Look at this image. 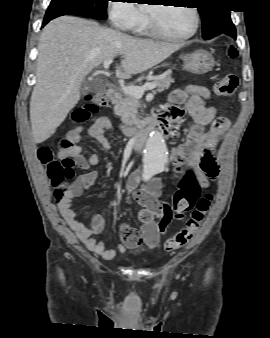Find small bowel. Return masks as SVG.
<instances>
[{
	"label": "small bowel",
	"mask_w": 270,
	"mask_h": 338,
	"mask_svg": "<svg viewBox=\"0 0 270 338\" xmlns=\"http://www.w3.org/2000/svg\"><path fill=\"white\" fill-rule=\"evenodd\" d=\"M210 90L204 86L188 85L184 89H175L169 95V103L163 105L157 113L164 115L170 125V132L174 133L173 123L182 118V107L186 109L192 117L194 123L188 131L187 140L184 144L176 146L172 150V157L175 161L172 175L175 180L182 181L185 176L196 177L202 187L208 186V177L201 169V161L205 148L212 151L226 134V130H219L212 127L206 130L210 124H214L216 118V107L211 103ZM112 126L107 117H99L88 128V135L96 140L104 150L108 148L104 133ZM83 128L78 126L70 129L66 134V139L72 143L69 149L61 148L59 158H71L74 164L80 169H87L90 165L99 163V155L93 153L87 159L84 156L85 149L79 144L82 137ZM215 159V158H214ZM218 171V170H217ZM98 178L97 171H89L80 174L63 192L55 194L61 215L68 223L69 227L77 234L84 245L96 255L105 260L113 259L117 252L124 249H137L144 242L149 248H155L159 243L160 234L167 231L169 221L163 220L160 223L152 220L143 221L141 234L135 229L121 227V243L116 248H107L103 240H98L97 235L102 233L104 222L101 217L89 215L90 226H85L78 218L73 209L74 199L80 197L82 193L91 188ZM140 172H133L127 182L129 197H132L146 213L156 216L163 213V205L158 202V197L162 192V184L155 179L150 182L146 190H137L140 183ZM129 200V199H128ZM127 200V201H128Z\"/></svg>",
	"instance_id": "1"
}]
</instances>
